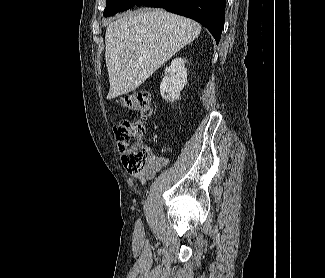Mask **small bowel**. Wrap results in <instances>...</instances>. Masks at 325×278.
Masks as SVG:
<instances>
[{"label":"small bowel","mask_w":325,"mask_h":278,"mask_svg":"<svg viewBox=\"0 0 325 278\" xmlns=\"http://www.w3.org/2000/svg\"><path fill=\"white\" fill-rule=\"evenodd\" d=\"M168 163L169 158L167 156L154 155L150 158L147 165L140 172L135 174V177L142 184H145L147 180L152 179L157 171L165 167Z\"/></svg>","instance_id":"obj_1"}]
</instances>
